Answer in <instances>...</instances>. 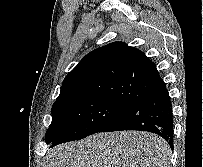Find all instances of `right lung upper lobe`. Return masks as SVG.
<instances>
[{
  "label": "right lung upper lobe",
  "instance_id": "cb5924a9",
  "mask_svg": "<svg viewBox=\"0 0 203 167\" xmlns=\"http://www.w3.org/2000/svg\"><path fill=\"white\" fill-rule=\"evenodd\" d=\"M163 86L155 63L144 52L124 42H113L87 54L65 77L52 107L87 97L130 105Z\"/></svg>",
  "mask_w": 203,
  "mask_h": 167
}]
</instances>
